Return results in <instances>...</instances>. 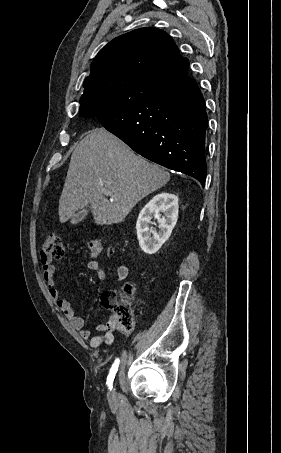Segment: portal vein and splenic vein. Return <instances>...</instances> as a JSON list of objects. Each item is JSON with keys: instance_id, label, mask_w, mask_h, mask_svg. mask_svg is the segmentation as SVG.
Masks as SVG:
<instances>
[{"instance_id": "1", "label": "portal vein and splenic vein", "mask_w": 281, "mask_h": 453, "mask_svg": "<svg viewBox=\"0 0 281 453\" xmlns=\"http://www.w3.org/2000/svg\"><path fill=\"white\" fill-rule=\"evenodd\" d=\"M104 190V194H107V196H110V198H117L116 194H113L111 190H106V188H102Z\"/></svg>"}]
</instances>
